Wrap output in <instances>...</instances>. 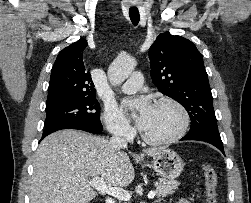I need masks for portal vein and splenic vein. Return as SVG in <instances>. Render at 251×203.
<instances>
[{
    "instance_id": "1",
    "label": "portal vein and splenic vein",
    "mask_w": 251,
    "mask_h": 203,
    "mask_svg": "<svg viewBox=\"0 0 251 203\" xmlns=\"http://www.w3.org/2000/svg\"><path fill=\"white\" fill-rule=\"evenodd\" d=\"M88 182L92 187L96 188L98 191L102 192L103 194L112 195L118 198L119 200L128 201L131 198V194L128 191L122 188L109 186L104 181H102L99 177H93ZM154 196H155V191H150L148 194V198L153 199Z\"/></svg>"
}]
</instances>
